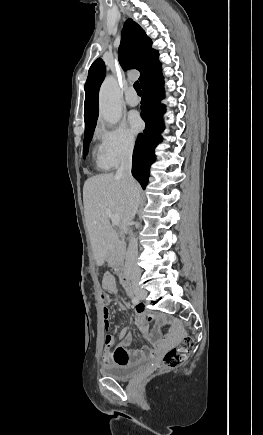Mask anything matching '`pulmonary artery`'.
Masks as SVG:
<instances>
[{"mask_svg": "<svg viewBox=\"0 0 263 435\" xmlns=\"http://www.w3.org/2000/svg\"><path fill=\"white\" fill-rule=\"evenodd\" d=\"M140 102L139 97L135 93L133 88H129L126 94V103L129 106H136Z\"/></svg>", "mask_w": 263, "mask_h": 435, "instance_id": "obj_1", "label": "pulmonary artery"}]
</instances>
